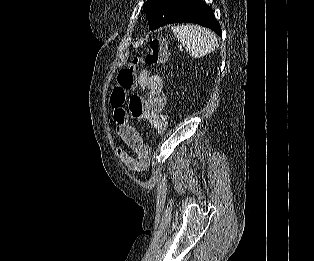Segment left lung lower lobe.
<instances>
[{
  "label": "left lung lower lobe",
  "mask_w": 314,
  "mask_h": 261,
  "mask_svg": "<svg viewBox=\"0 0 314 261\" xmlns=\"http://www.w3.org/2000/svg\"><path fill=\"white\" fill-rule=\"evenodd\" d=\"M182 22L200 24L213 30L217 35H222L221 27L212 9L201 0H184L167 24Z\"/></svg>",
  "instance_id": "obj_1"
}]
</instances>
